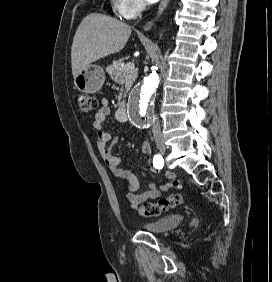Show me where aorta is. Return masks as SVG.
<instances>
[{"instance_id": "1", "label": "aorta", "mask_w": 272, "mask_h": 282, "mask_svg": "<svg viewBox=\"0 0 272 282\" xmlns=\"http://www.w3.org/2000/svg\"><path fill=\"white\" fill-rule=\"evenodd\" d=\"M159 85V76L156 72L150 73L133 90L129 100L131 120L138 124H148L153 115V98Z\"/></svg>"}]
</instances>
